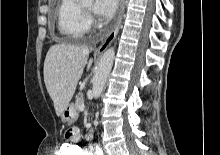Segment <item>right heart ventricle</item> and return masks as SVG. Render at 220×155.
Masks as SVG:
<instances>
[{
	"instance_id": "right-heart-ventricle-1",
	"label": "right heart ventricle",
	"mask_w": 220,
	"mask_h": 155,
	"mask_svg": "<svg viewBox=\"0 0 220 155\" xmlns=\"http://www.w3.org/2000/svg\"><path fill=\"white\" fill-rule=\"evenodd\" d=\"M56 16L58 30L65 38L77 40L87 33V17L80 10L77 0H60Z\"/></svg>"
}]
</instances>
